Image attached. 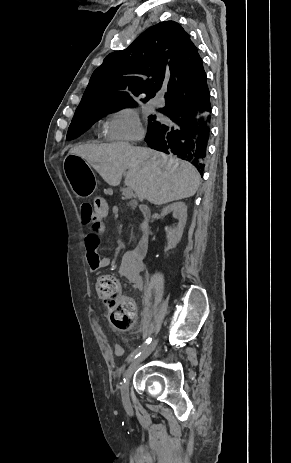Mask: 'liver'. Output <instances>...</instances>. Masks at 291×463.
<instances>
[{"mask_svg": "<svg viewBox=\"0 0 291 463\" xmlns=\"http://www.w3.org/2000/svg\"><path fill=\"white\" fill-rule=\"evenodd\" d=\"M69 154L87 161L110 186H118L128 170L125 185L140 201L155 205L192 197L200 185L193 165L145 147L123 142L86 144L70 149Z\"/></svg>", "mask_w": 291, "mask_h": 463, "instance_id": "liver-1", "label": "liver"}]
</instances>
